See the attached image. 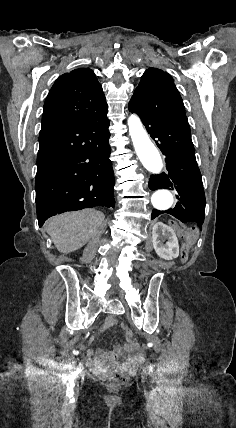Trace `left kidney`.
I'll return each mask as SVG.
<instances>
[{
	"label": "left kidney",
	"instance_id": "left-kidney-1",
	"mask_svg": "<svg viewBox=\"0 0 236 428\" xmlns=\"http://www.w3.org/2000/svg\"><path fill=\"white\" fill-rule=\"evenodd\" d=\"M153 246L156 254L163 260H173L179 256V244L176 234L170 226L157 222L152 230ZM163 240H168L163 244Z\"/></svg>",
	"mask_w": 236,
	"mask_h": 428
}]
</instances>
